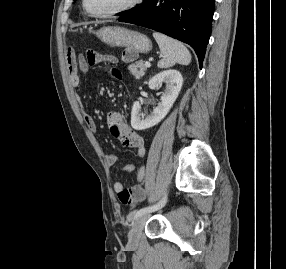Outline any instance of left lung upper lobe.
<instances>
[{
  "instance_id": "1",
  "label": "left lung upper lobe",
  "mask_w": 286,
  "mask_h": 269,
  "mask_svg": "<svg viewBox=\"0 0 286 269\" xmlns=\"http://www.w3.org/2000/svg\"><path fill=\"white\" fill-rule=\"evenodd\" d=\"M149 0H144V3L142 4L141 7H143ZM141 7H134L131 10L125 11L127 14L132 13L133 11H136L138 9H140Z\"/></svg>"
}]
</instances>
